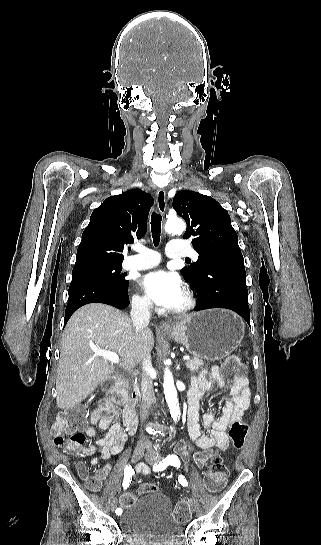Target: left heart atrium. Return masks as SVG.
<instances>
[{
	"instance_id": "39dd6f15",
	"label": "left heart atrium",
	"mask_w": 321,
	"mask_h": 545,
	"mask_svg": "<svg viewBox=\"0 0 321 545\" xmlns=\"http://www.w3.org/2000/svg\"><path fill=\"white\" fill-rule=\"evenodd\" d=\"M139 285L149 300L163 312L176 309L184 293V284L178 274L162 269L142 276Z\"/></svg>"
}]
</instances>
